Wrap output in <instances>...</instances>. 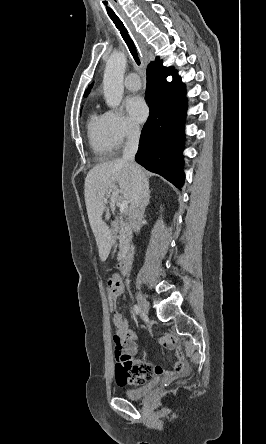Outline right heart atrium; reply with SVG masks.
Returning <instances> with one entry per match:
<instances>
[{
    "mask_svg": "<svg viewBox=\"0 0 266 444\" xmlns=\"http://www.w3.org/2000/svg\"><path fill=\"white\" fill-rule=\"evenodd\" d=\"M108 132L115 147L122 146L126 141L135 138L139 128L121 111L111 110L105 113Z\"/></svg>",
    "mask_w": 266,
    "mask_h": 444,
    "instance_id": "right-heart-atrium-1",
    "label": "right heart atrium"
}]
</instances>
